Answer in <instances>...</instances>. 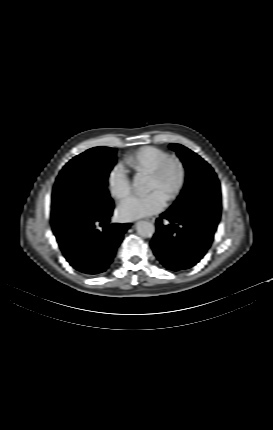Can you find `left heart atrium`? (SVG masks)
I'll use <instances>...</instances> for the list:
<instances>
[{"mask_svg":"<svg viewBox=\"0 0 273 430\" xmlns=\"http://www.w3.org/2000/svg\"><path fill=\"white\" fill-rule=\"evenodd\" d=\"M165 196L154 190L143 196H131L118 207L117 214L120 219L131 221L156 214L164 209Z\"/></svg>","mask_w":273,"mask_h":430,"instance_id":"left-heart-atrium-1","label":"left heart atrium"}]
</instances>
